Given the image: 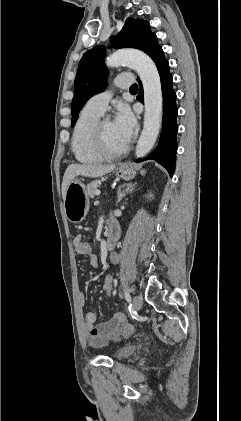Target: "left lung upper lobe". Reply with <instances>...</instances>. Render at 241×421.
<instances>
[{"label":"left lung upper lobe","instance_id":"left-lung-upper-lobe-1","mask_svg":"<svg viewBox=\"0 0 241 421\" xmlns=\"http://www.w3.org/2000/svg\"><path fill=\"white\" fill-rule=\"evenodd\" d=\"M154 36L149 22L128 18L120 33L111 38V41L116 49L136 48L145 51ZM105 52L104 46H95L88 50L79 62L74 83L71 126L75 125L79 111L87 100L103 91L107 85L108 69L104 64Z\"/></svg>","mask_w":241,"mask_h":421}]
</instances>
